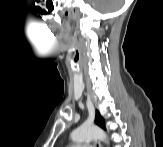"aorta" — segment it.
<instances>
[{"mask_svg":"<svg viewBox=\"0 0 163 147\" xmlns=\"http://www.w3.org/2000/svg\"><path fill=\"white\" fill-rule=\"evenodd\" d=\"M106 133L95 125L83 124L72 132L71 138L75 142H86L91 140L106 141Z\"/></svg>","mask_w":163,"mask_h":147,"instance_id":"aorta-1","label":"aorta"}]
</instances>
